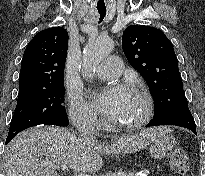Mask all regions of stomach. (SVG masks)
I'll return each instance as SVG.
<instances>
[{
  "label": "stomach",
  "mask_w": 205,
  "mask_h": 176,
  "mask_svg": "<svg viewBox=\"0 0 205 176\" xmlns=\"http://www.w3.org/2000/svg\"><path fill=\"white\" fill-rule=\"evenodd\" d=\"M176 147L175 138L168 131L160 132L150 143V154L154 159H162Z\"/></svg>",
  "instance_id": "stomach-1"
}]
</instances>
